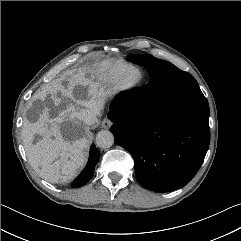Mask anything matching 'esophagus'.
I'll return each mask as SVG.
<instances>
[{
    "mask_svg": "<svg viewBox=\"0 0 241 241\" xmlns=\"http://www.w3.org/2000/svg\"><path fill=\"white\" fill-rule=\"evenodd\" d=\"M111 125H112V122L108 118H105L102 121V128L104 129H108Z\"/></svg>",
    "mask_w": 241,
    "mask_h": 241,
    "instance_id": "obj_1",
    "label": "esophagus"
}]
</instances>
